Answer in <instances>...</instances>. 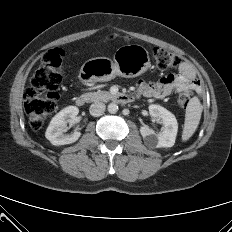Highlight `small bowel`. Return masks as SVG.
<instances>
[{
    "label": "small bowel",
    "mask_w": 232,
    "mask_h": 232,
    "mask_svg": "<svg viewBox=\"0 0 232 232\" xmlns=\"http://www.w3.org/2000/svg\"><path fill=\"white\" fill-rule=\"evenodd\" d=\"M136 87L138 94L141 96L163 99L184 88L199 90L200 84L192 64L188 61H182L177 74H168L157 83L139 81Z\"/></svg>",
    "instance_id": "1"
}]
</instances>
